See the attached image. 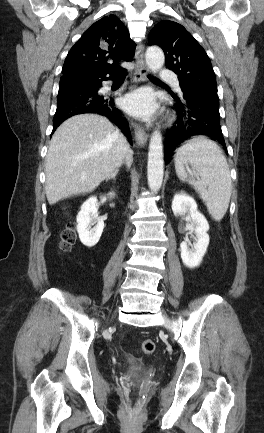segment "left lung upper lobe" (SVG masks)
<instances>
[{"instance_id":"obj_1","label":"left lung upper lobe","mask_w":264,"mask_h":433,"mask_svg":"<svg viewBox=\"0 0 264 433\" xmlns=\"http://www.w3.org/2000/svg\"><path fill=\"white\" fill-rule=\"evenodd\" d=\"M148 42L163 49L166 67L178 75L181 89H206L217 93L208 55L182 25L161 21L151 30Z\"/></svg>"}]
</instances>
